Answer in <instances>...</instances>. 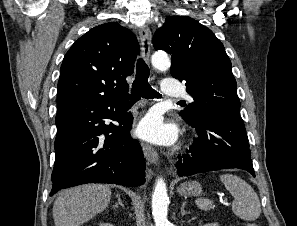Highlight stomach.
<instances>
[{
  "label": "stomach",
  "mask_w": 297,
  "mask_h": 226,
  "mask_svg": "<svg viewBox=\"0 0 297 226\" xmlns=\"http://www.w3.org/2000/svg\"><path fill=\"white\" fill-rule=\"evenodd\" d=\"M178 192L181 195H186V196H199L202 194V187L200 183L196 181H190V182L181 184L178 187Z\"/></svg>",
  "instance_id": "0dacf381"
}]
</instances>
